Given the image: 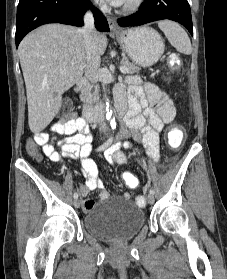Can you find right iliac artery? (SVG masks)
I'll use <instances>...</instances> for the list:
<instances>
[{
  "label": "right iliac artery",
  "instance_id": "right-iliac-artery-1",
  "mask_svg": "<svg viewBox=\"0 0 227 279\" xmlns=\"http://www.w3.org/2000/svg\"><path fill=\"white\" fill-rule=\"evenodd\" d=\"M112 140H113V137H110L104 144L99 146L96 150L97 151H103L104 149H106L112 143ZM73 197H74V199H77L78 198V193L75 192Z\"/></svg>",
  "mask_w": 227,
  "mask_h": 279
}]
</instances>
